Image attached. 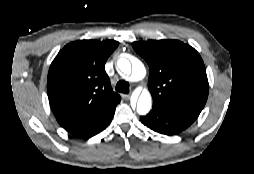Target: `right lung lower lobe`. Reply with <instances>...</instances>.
Returning a JSON list of instances; mask_svg holds the SVG:
<instances>
[{
	"label": "right lung lower lobe",
	"mask_w": 254,
	"mask_h": 174,
	"mask_svg": "<svg viewBox=\"0 0 254 174\" xmlns=\"http://www.w3.org/2000/svg\"><path fill=\"white\" fill-rule=\"evenodd\" d=\"M115 108L116 107H112L94 114L83 121L66 128V130L78 138H90L106 128L114 116Z\"/></svg>",
	"instance_id": "98d812e1"
}]
</instances>
